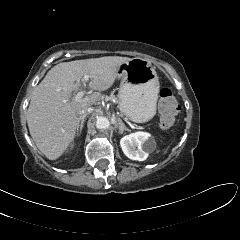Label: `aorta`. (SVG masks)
I'll use <instances>...</instances> for the list:
<instances>
[{"mask_svg":"<svg viewBox=\"0 0 240 240\" xmlns=\"http://www.w3.org/2000/svg\"><path fill=\"white\" fill-rule=\"evenodd\" d=\"M110 126V122L106 117H97L96 127L98 129H107Z\"/></svg>","mask_w":240,"mask_h":240,"instance_id":"obj_1","label":"aorta"}]
</instances>
